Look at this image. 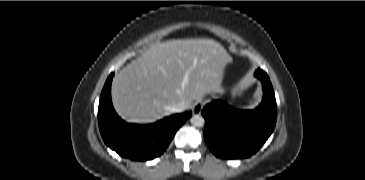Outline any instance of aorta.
Masks as SVG:
<instances>
[{"instance_id": "762f6f07", "label": "aorta", "mask_w": 365, "mask_h": 180, "mask_svg": "<svg viewBox=\"0 0 365 180\" xmlns=\"http://www.w3.org/2000/svg\"><path fill=\"white\" fill-rule=\"evenodd\" d=\"M190 122L192 125H194L196 127H202L205 123V120L201 115H194L190 119Z\"/></svg>"}]
</instances>
